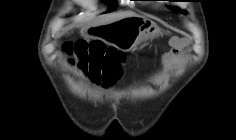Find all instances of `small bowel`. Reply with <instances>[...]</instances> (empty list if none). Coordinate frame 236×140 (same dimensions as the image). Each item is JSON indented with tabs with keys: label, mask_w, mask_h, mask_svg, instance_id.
Instances as JSON below:
<instances>
[{
	"label": "small bowel",
	"mask_w": 236,
	"mask_h": 140,
	"mask_svg": "<svg viewBox=\"0 0 236 140\" xmlns=\"http://www.w3.org/2000/svg\"><path fill=\"white\" fill-rule=\"evenodd\" d=\"M181 44V41L178 39L172 41L173 49L165 54L161 59V69L163 71H168L173 66L181 62Z\"/></svg>",
	"instance_id": "small-bowel-1"
}]
</instances>
